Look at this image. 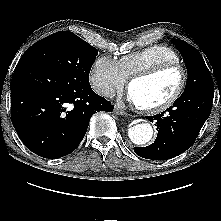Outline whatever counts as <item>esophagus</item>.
<instances>
[{
	"mask_svg": "<svg viewBox=\"0 0 221 221\" xmlns=\"http://www.w3.org/2000/svg\"><path fill=\"white\" fill-rule=\"evenodd\" d=\"M121 105L122 104H119V103L117 105H115L114 112L118 115H126L127 113L123 110Z\"/></svg>",
	"mask_w": 221,
	"mask_h": 221,
	"instance_id": "esophagus-1",
	"label": "esophagus"
}]
</instances>
